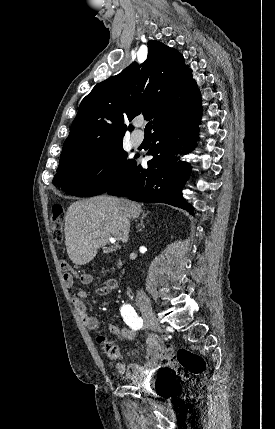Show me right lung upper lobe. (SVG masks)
I'll list each match as a JSON object with an SVG mask.
<instances>
[{"label":"right lung upper lobe","mask_w":275,"mask_h":429,"mask_svg":"<svg viewBox=\"0 0 275 429\" xmlns=\"http://www.w3.org/2000/svg\"><path fill=\"white\" fill-rule=\"evenodd\" d=\"M200 92L182 55L161 42L148 43L147 60L97 84L81 101L60 162L123 139L136 116L154 119L153 130L200 112ZM133 127L130 125L129 130Z\"/></svg>","instance_id":"right-lung-upper-lobe-1"}]
</instances>
